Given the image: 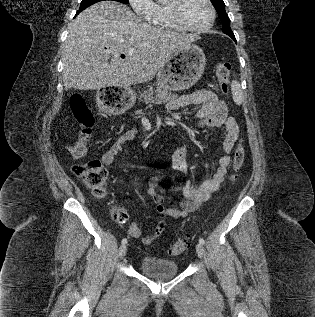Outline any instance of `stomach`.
<instances>
[{"mask_svg": "<svg viewBox=\"0 0 315 317\" xmlns=\"http://www.w3.org/2000/svg\"><path fill=\"white\" fill-rule=\"evenodd\" d=\"M206 66V57L202 49L196 45L178 49L157 74L156 86L170 90H184L193 86L201 77ZM100 95H116V97H102L105 111L112 114H129L134 104L140 103L127 84H107L99 89ZM127 95V97H123Z\"/></svg>", "mask_w": 315, "mask_h": 317, "instance_id": "0dacf381", "label": "stomach"}]
</instances>
